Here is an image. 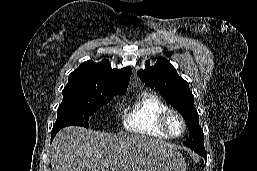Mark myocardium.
<instances>
[{"label":"myocardium","mask_w":257,"mask_h":171,"mask_svg":"<svg viewBox=\"0 0 257 171\" xmlns=\"http://www.w3.org/2000/svg\"><path fill=\"white\" fill-rule=\"evenodd\" d=\"M172 116H176L179 121L181 122V125H182V131L180 134H174L170 127H169V120ZM160 127L162 128V130L171 138H179L181 137L185 131H186V121L183 117V115L175 110V109H167L161 116L160 118Z\"/></svg>","instance_id":"f54148a6"}]
</instances>
